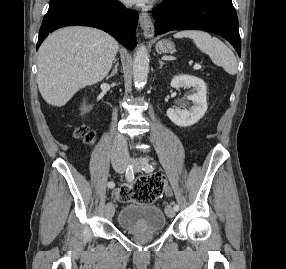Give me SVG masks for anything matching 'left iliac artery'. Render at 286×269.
<instances>
[{
  "label": "left iliac artery",
  "instance_id": "left-iliac-artery-1",
  "mask_svg": "<svg viewBox=\"0 0 286 269\" xmlns=\"http://www.w3.org/2000/svg\"><path fill=\"white\" fill-rule=\"evenodd\" d=\"M142 170H144L145 172H151L154 170L153 166L150 165V164H145L143 167H142ZM172 204L174 205V210L175 211H178L179 210V206L177 204H175L174 202H172Z\"/></svg>",
  "mask_w": 286,
  "mask_h": 269
}]
</instances>
